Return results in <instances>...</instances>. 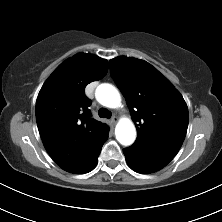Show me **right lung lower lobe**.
<instances>
[{
	"instance_id": "right-lung-lower-lobe-1",
	"label": "right lung lower lobe",
	"mask_w": 222,
	"mask_h": 222,
	"mask_svg": "<svg viewBox=\"0 0 222 222\" xmlns=\"http://www.w3.org/2000/svg\"><path fill=\"white\" fill-rule=\"evenodd\" d=\"M102 145L96 149L95 156L91 159V161L89 163L85 164L84 166H80L77 170H71L76 167L75 165L67 167L65 170L68 172H71V173H87V172L91 171L92 169H94L98 163V156L101 152Z\"/></svg>"
}]
</instances>
